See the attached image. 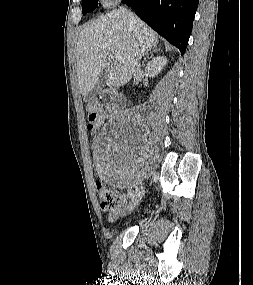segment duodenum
<instances>
[{
	"mask_svg": "<svg viewBox=\"0 0 253 285\" xmlns=\"http://www.w3.org/2000/svg\"><path fill=\"white\" fill-rule=\"evenodd\" d=\"M102 103L106 107L108 116H113L126 106V97L116 90H108L102 95Z\"/></svg>",
	"mask_w": 253,
	"mask_h": 285,
	"instance_id": "duodenum-1",
	"label": "duodenum"
}]
</instances>
